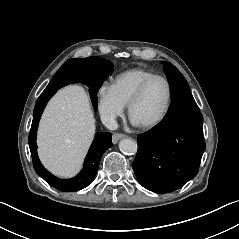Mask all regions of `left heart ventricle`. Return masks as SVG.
<instances>
[{"mask_svg": "<svg viewBox=\"0 0 239 239\" xmlns=\"http://www.w3.org/2000/svg\"><path fill=\"white\" fill-rule=\"evenodd\" d=\"M168 90L163 80L153 81L133 109L132 117L138 124L156 120L167 102Z\"/></svg>", "mask_w": 239, "mask_h": 239, "instance_id": "b2bd125f", "label": "left heart ventricle"}]
</instances>
